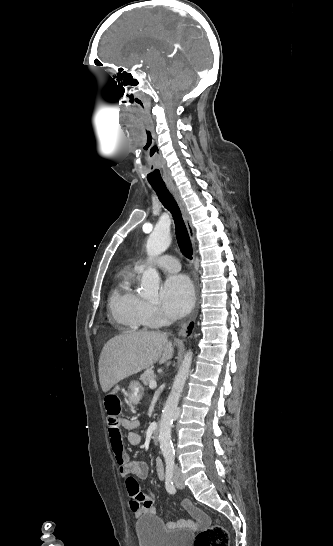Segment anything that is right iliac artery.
I'll list each match as a JSON object with an SVG mask.
<instances>
[{"label": "right iliac artery", "instance_id": "82829eb1", "mask_svg": "<svg viewBox=\"0 0 333 546\" xmlns=\"http://www.w3.org/2000/svg\"><path fill=\"white\" fill-rule=\"evenodd\" d=\"M174 472V458L173 457H167L166 458V479H165V487L168 493L174 494L176 492L172 477Z\"/></svg>", "mask_w": 333, "mask_h": 546}]
</instances>
